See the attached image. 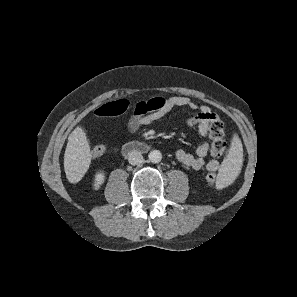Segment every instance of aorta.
I'll return each mask as SVG.
<instances>
[{
    "instance_id": "1",
    "label": "aorta",
    "mask_w": 297,
    "mask_h": 297,
    "mask_svg": "<svg viewBox=\"0 0 297 297\" xmlns=\"http://www.w3.org/2000/svg\"><path fill=\"white\" fill-rule=\"evenodd\" d=\"M148 158L151 163H159L162 160V154L158 150H152L148 154Z\"/></svg>"
}]
</instances>
